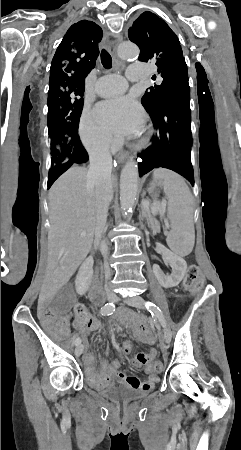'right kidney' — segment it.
<instances>
[{
	"instance_id": "ca27d5eb",
	"label": "right kidney",
	"mask_w": 241,
	"mask_h": 450,
	"mask_svg": "<svg viewBox=\"0 0 241 450\" xmlns=\"http://www.w3.org/2000/svg\"><path fill=\"white\" fill-rule=\"evenodd\" d=\"M93 258L89 256L86 258L85 262H83L82 266L79 268V272L76 276L75 286L77 294L83 296L88 292V288L91 284V280L93 278Z\"/></svg>"
}]
</instances>
